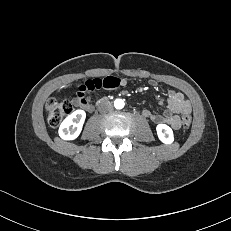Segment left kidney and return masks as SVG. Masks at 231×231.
<instances>
[{
    "label": "left kidney",
    "mask_w": 231,
    "mask_h": 231,
    "mask_svg": "<svg viewBox=\"0 0 231 231\" xmlns=\"http://www.w3.org/2000/svg\"><path fill=\"white\" fill-rule=\"evenodd\" d=\"M159 139L165 144H171L174 141L172 129L165 124H158L156 127Z\"/></svg>",
    "instance_id": "obj_1"
}]
</instances>
